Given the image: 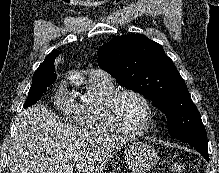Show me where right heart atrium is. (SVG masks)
I'll return each mask as SVG.
<instances>
[{
    "instance_id": "1",
    "label": "right heart atrium",
    "mask_w": 219,
    "mask_h": 173,
    "mask_svg": "<svg viewBox=\"0 0 219 173\" xmlns=\"http://www.w3.org/2000/svg\"><path fill=\"white\" fill-rule=\"evenodd\" d=\"M54 104L66 114H73V102L70 99L67 86L64 82L57 85L54 92Z\"/></svg>"
}]
</instances>
